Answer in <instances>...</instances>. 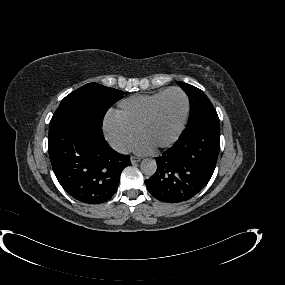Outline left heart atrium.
<instances>
[{"mask_svg": "<svg viewBox=\"0 0 285 285\" xmlns=\"http://www.w3.org/2000/svg\"><path fill=\"white\" fill-rule=\"evenodd\" d=\"M134 151L140 154H149L154 151V147L140 137L134 144Z\"/></svg>", "mask_w": 285, "mask_h": 285, "instance_id": "left-heart-atrium-1", "label": "left heart atrium"}]
</instances>
